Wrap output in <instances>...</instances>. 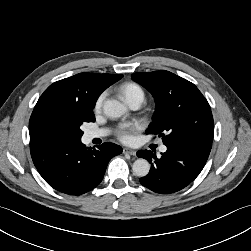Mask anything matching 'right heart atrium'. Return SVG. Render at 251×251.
I'll list each match as a JSON object with an SVG mask.
<instances>
[{
	"mask_svg": "<svg viewBox=\"0 0 251 251\" xmlns=\"http://www.w3.org/2000/svg\"><path fill=\"white\" fill-rule=\"evenodd\" d=\"M105 96H106V94H105V92H103L96 98L95 103H94V111L95 112H99L101 110Z\"/></svg>",
	"mask_w": 251,
	"mask_h": 251,
	"instance_id": "d8ad5b80",
	"label": "right heart atrium"
}]
</instances>
